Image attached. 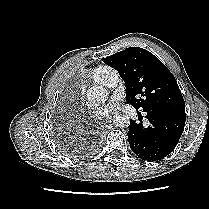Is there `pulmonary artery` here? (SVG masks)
Segmentation results:
<instances>
[{
  "label": "pulmonary artery",
  "instance_id": "pulmonary-artery-1",
  "mask_svg": "<svg viewBox=\"0 0 209 209\" xmlns=\"http://www.w3.org/2000/svg\"><path fill=\"white\" fill-rule=\"evenodd\" d=\"M118 81H119V77H118L117 72L113 69H110L106 73L102 84L107 87H115L117 85Z\"/></svg>",
  "mask_w": 209,
  "mask_h": 209
}]
</instances>
